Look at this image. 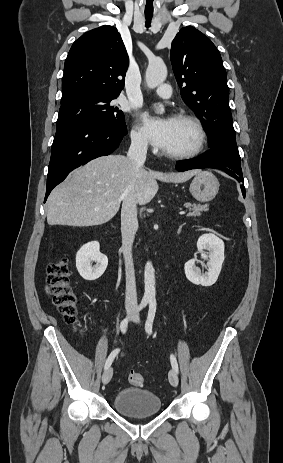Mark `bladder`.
Instances as JSON below:
<instances>
[{"mask_svg":"<svg viewBox=\"0 0 283 463\" xmlns=\"http://www.w3.org/2000/svg\"><path fill=\"white\" fill-rule=\"evenodd\" d=\"M112 404L117 412L129 418H143L161 412L160 398L143 388H124L118 391Z\"/></svg>","mask_w":283,"mask_h":463,"instance_id":"31cf9c89","label":"bladder"}]
</instances>
